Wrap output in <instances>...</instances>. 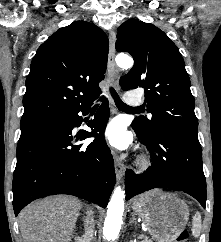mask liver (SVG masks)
Here are the masks:
<instances>
[{
  "label": "liver",
  "instance_id": "obj_1",
  "mask_svg": "<svg viewBox=\"0 0 221 242\" xmlns=\"http://www.w3.org/2000/svg\"><path fill=\"white\" fill-rule=\"evenodd\" d=\"M82 203L67 196L31 203L19 214L23 242H69Z\"/></svg>",
  "mask_w": 221,
  "mask_h": 242
}]
</instances>
